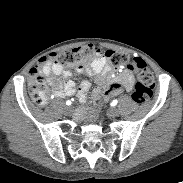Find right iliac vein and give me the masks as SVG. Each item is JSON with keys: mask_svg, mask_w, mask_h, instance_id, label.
Here are the masks:
<instances>
[{"mask_svg": "<svg viewBox=\"0 0 183 183\" xmlns=\"http://www.w3.org/2000/svg\"><path fill=\"white\" fill-rule=\"evenodd\" d=\"M70 109H71V107H67V109H66V110L68 111V110H70Z\"/></svg>", "mask_w": 183, "mask_h": 183, "instance_id": "obj_1", "label": "right iliac vein"}]
</instances>
